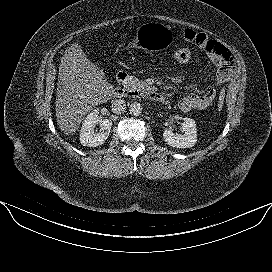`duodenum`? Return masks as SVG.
Wrapping results in <instances>:
<instances>
[{"instance_id": "obj_1", "label": "duodenum", "mask_w": 272, "mask_h": 272, "mask_svg": "<svg viewBox=\"0 0 272 272\" xmlns=\"http://www.w3.org/2000/svg\"><path fill=\"white\" fill-rule=\"evenodd\" d=\"M128 79V74L126 72H119L116 76L117 86L114 89V93L117 96H126L129 95L127 91H125L122 87V84ZM142 98L161 103V104H167L169 102L168 98L163 95L162 93H159L151 88H146L137 93Z\"/></svg>"}]
</instances>
